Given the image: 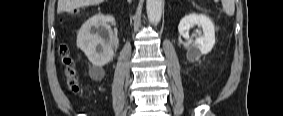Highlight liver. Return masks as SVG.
<instances>
[{
  "instance_id": "6515ba94",
  "label": "liver",
  "mask_w": 283,
  "mask_h": 116,
  "mask_svg": "<svg viewBox=\"0 0 283 116\" xmlns=\"http://www.w3.org/2000/svg\"><path fill=\"white\" fill-rule=\"evenodd\" d=\"M102 1L103 0H58L57 12L62 13L81 6L95 5Z\"/></svg>"
}]
</instances>
